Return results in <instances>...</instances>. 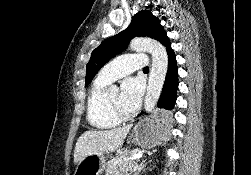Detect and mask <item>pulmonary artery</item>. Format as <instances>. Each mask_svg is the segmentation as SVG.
<instances>
[{
	"instance_id": "obj_1",
	"label": "pulmonary artery",
	"mask_w": 251,
	"mask_h": 175,
	"mask_svg": "<svg viewBox=\"0 0 251 175\" xmlns=\"http://www.w3.org/2000/svg\"><path fill=\"white\" fill-rule=\"evenodd\" d=\"M148 62L146 52H127L114 58V62H106V67L99 72L97 79L111 83L122 76H130L132 70L141 71V67Z\"/></svg>"
}]
</instances>
